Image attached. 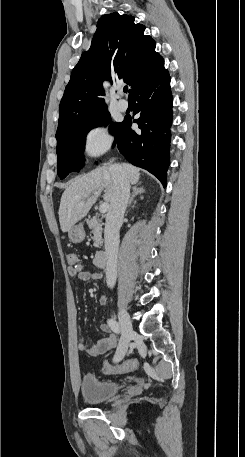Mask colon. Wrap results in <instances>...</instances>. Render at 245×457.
Listing matches in <instances>:
<instances>
[{
    "label": "colon",
    "mask_w": 245,
    "mask_h": 457,
    "mask_svg": "<svg viewBox=\"0 0 245 457\" xmlns=\"http://www.w3.org/2000/svg\"><path fill=\"white\" fill-rule=\"evenodd\" d=\"M67 261L72 268H77L78 260L77 256L73 253L67 255ZM138 367V362L136 359H125L119 363L113 364L111 362H105L103 370L105 373H126L133 370H136Z\"/></svg>",
    "instance_id": "colon-1"
}]
</instances>
